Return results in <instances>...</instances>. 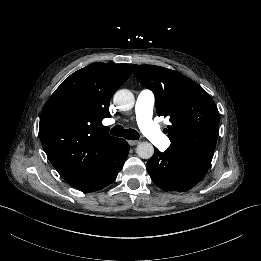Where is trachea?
<instances>
[{"instance_id":"obj_1","label":"trachea","mask_w":261,"mask_h":261,"mask_svg":"<svg viewBox=\"0 0 261 261\" xmlns=\"http://www.w3.org/2000/svg\"><path fill=\"white\" fill-rule=\"evenodd\" d=\"M111 135L118 136V137H124L128 140H137L139 139V134L134 129H124L121 125L114 126L111 131Z\"/></svg>"}]
</instances>
